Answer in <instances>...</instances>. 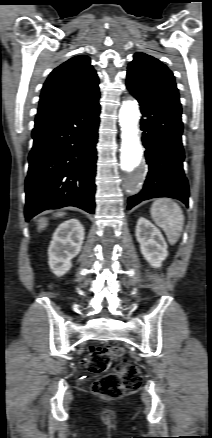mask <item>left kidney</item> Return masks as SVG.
<instances>
[{
	"mask_svg": "<svg viewBox=\"0 0 212 438\" xmlns=\"http://www.w3.org/2000/svg\"><path fill=\"white\" fill-rule=\"evenodd\" d=\"M136 239L140 244V250L144 258L151 266L159 268L168 256L165 239L149 220L140 217L136 226Z\"/></svg>",
	"mask_w": 212,
	"mask_h": 438,
	"instance_id": "left-kidney-1",
	"label": "left kidney"
}]
</instances>
